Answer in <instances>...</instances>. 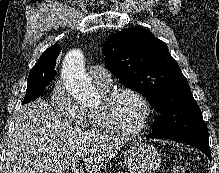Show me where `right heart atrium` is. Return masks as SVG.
Returning a JSON list of instances; mask_svg holds the SVG:
<instances>
[{"instance_id": "right-heart-atrium-1", "label": "right heart atrium", "mask_w": 219, "mask_h": 173, "mask_svg": "<svg viewBox=\"0 0 219 173\" xmlns=\"http://www.w3.org/2000/svg\"><path fill=\"white\" fill-rule=\"evenodd\" d=\"M50 102L54 110L69 120L80 123L81 109L71 98L62 81H57L52 89Z\"/></svg>"}]
</instances>
